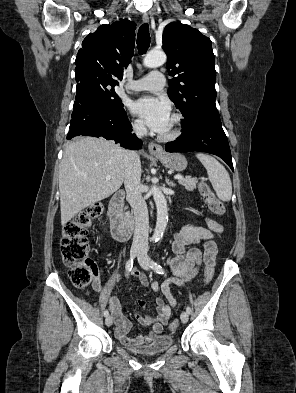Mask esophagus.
Returning a JSON list of instances; mask_svg holds the SVG:
<instances>
[{
  "instance_id": "obj_1",
  "label": "esophagus",
  "mask_w": 296,
  "mask_h": 393,
  "mask_svg": "<svg viewBox=\"0 0 296 393\" xmlns=\"http://www.w3.org/2000/svg\"><path fill=\"white\" fill-rule=\"evenodd\" d=\"M143 22L148 23L149 22V16L147 13H144L142 16ZM148 150L150 151L151 154L153 155H159L163 153V148L161 145L156 144V143H149L148 145Z\"/></svg>"
}]
</instances>
